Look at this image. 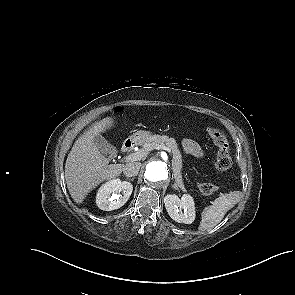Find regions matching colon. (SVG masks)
<instances>
[{
  "mask_svg": "<svg viewBox=\"0 0 295 295\" xmlns=\"http://www.w3.org/2000/svg\"><path fill=\"white\" fill-rule=\"evenodd\" d=\"M209 134L217 146L216 167L220 171H226L232 165L229 142L223 132L218 128H210ZM199 189L201 193L211 195L218 191V186L209 181H203L200 183Z\"/></svg>",
  "mask_w": 295,
  "mask_h": 295,
  "instance_id": "colon-1",
  "label": "colon"
}]
</instances>
